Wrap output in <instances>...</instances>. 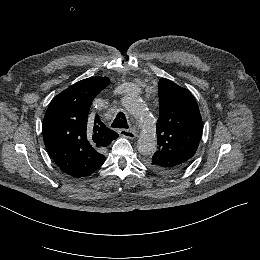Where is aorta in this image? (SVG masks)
<instances>
[{
    "label": "aorta",
    "instance_id": "obj_1",
    "mask_svg": "<svg viewBox=\"0 0 260 260\" xmlns=\"http://www.w3.org/2000/svg\"><path fill=\"white\" fill-rule=\"evenodd\" d=\"M121 103L140 122L142 132L137 141L139 153L144 156L152 155L157 147L156 119L149 113L146 104L136 94H126L121 99Z\"/></svg>",
    "mask_w": 260,
    "mask_h": 260
}]
</instances>
